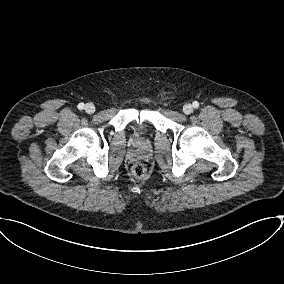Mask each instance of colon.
Here are the masks:
<instances>
[{"instance_id":"obj_1","label":"colon","mask_w":284,"mask_h":284,"mask_svg":"<svg viewBox=\"0 0 284 284\" xmlns=\"http://www.w3.org/2000/svg\"><path fill=\"white\" fill-rule=\"evenodd\" d=\"M132 173L136 178L142 179L145 178L147 175V168L141 163H136L132 167Z\"/></svg>"}]
</instances>
